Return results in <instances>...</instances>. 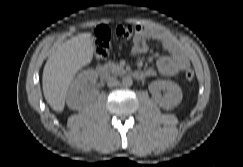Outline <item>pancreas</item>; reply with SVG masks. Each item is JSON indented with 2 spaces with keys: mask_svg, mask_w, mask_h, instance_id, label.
Masks as SVG:
<instances>
[{
  "mask_svg": "<svg viewBox=\"0 0 243 167\" xmlns=\"http://www.w3.org/2000/svg\"><path fill=\"white\" fill-rule=\"evenodd\" d=\"M105 67L108 68L111 72H120L124 70L121 66L114 62L106 63Z\"/></svg>",
  "mask_w": 243,
  "mask_h": 167,
  "instance_id": "pancreas-1",
  "label": "pancreas"
}]
</instances>
